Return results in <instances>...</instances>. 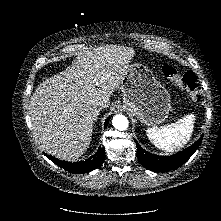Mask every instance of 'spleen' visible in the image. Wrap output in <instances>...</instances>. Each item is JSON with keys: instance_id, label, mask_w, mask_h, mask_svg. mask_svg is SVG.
I'll return each mask as SVG.
<instances>
[{"instance_id": "3e777b00", "label": "spleen", "mask_w": 221, "mask_h": 221, "mask_svg": "<svg viewBox=\"0 0 221 221\" xmlns=\"http://www.w3.org/2000/svg\"><path fill=\"white\" fill-rule=\"evenodd\" d=\"M194 120L195 116L189 114L171 125L147 128V137L157 148L172 152L182 148L190 140L194 130Z\"/></svg>"}]
</instances>
